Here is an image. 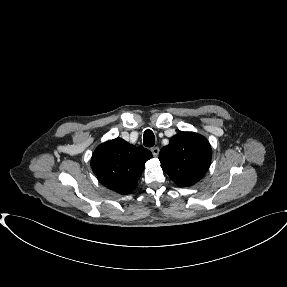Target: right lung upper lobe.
I'll return each instance as SVG.
<instances>
[{
    "instance_id": "obj_1",
    "label": "right lung upper lobe",
    "mask_w": 287,
    "mask_h": 287,
    "mask_svg": "<svg viewBox=\"0 0 287 287\" xmlns=\"http://www.w3.org/2000/svg\"><path fill=\"white\" fill-rule=\"evenodd\" d=\"M151 157L149 150L116 138L96 148L91 168L105 187L119 194H129L136 188L145 162Z\"/></svg>"
}]
</instances>
